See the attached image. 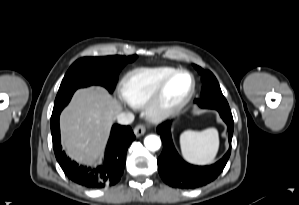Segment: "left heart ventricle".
Masks as SVG:
<instances>
[{"label":"left heart ventricle","instance_id":"left-heart-ventricle-1","mask_svg":"<svg viewBox=\"0 0 299 205\" xmlns=\"http://www.w3.org/2000/svg\"><path fill=\"white\" fill-rule=\"evenodd\" d=\"M190 84V78L187 75L178 76L167 89L166 101L174 103L181 99L188 92Z\"/></svg>","mask_w":299,"mask_h":205}]
</instances>
